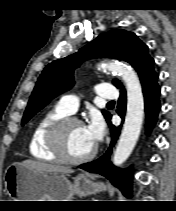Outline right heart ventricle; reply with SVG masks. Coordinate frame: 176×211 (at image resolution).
Masks as SVG:
<instances>
[{
  "label": "right heart ventricle",
  "mask_w": 176,
  "mask_h": 211,
  "mask_svg": "<svg viewBox=\"0 0 176 211\" xmlns=\"http://www.w3.org/2000/svg\"><path fill=\"white\" fill-rule=\"evenodd\" d=\"M69 115L59 105L46 111L35 123L32 128L28 141L30 155L41 161L59 162L47 144V132L49 127L58 119Z\"/></svg>",
  "instance_id": "1"
}]
</instances>
